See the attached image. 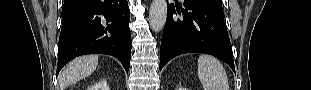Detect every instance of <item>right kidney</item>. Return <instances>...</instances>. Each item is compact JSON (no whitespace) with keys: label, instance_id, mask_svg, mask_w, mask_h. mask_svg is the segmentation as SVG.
I'll list each match as a JSON object with an SVG mask.
<instances>
[{"label":"right kidney","instance_id":"ca27d5eb","mask_svg":"<svg viewBox=\"0 0 311 90\" xmlns=\"http://www.w3.org/2000/svg\"><path fill=\"white\" fill-rule=\"evenodd\" d=\"M88 90H109V86L105 80H101L100 82L96 83L94 86L88 88Z\"/></svg>","mask_w":311,"mask_h":90}]
</instances>
